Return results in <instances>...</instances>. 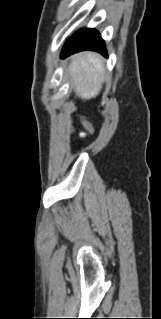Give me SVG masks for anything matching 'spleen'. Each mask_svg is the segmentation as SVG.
<instances>
[{"mask_svg":"<svg viewBox=\"0 0 161 319\" xmlns=\"http://www.w3.org/2000/svg\"><path fill=\"white\" fill-rule=\"evenodd\" d=\"M70 75L76 84V92L82 99L96 97L105 77L104 63L94 53H83L70 67Z\"/></svg>","mask_w":161,"mask_h":319,"instance_id":"3e777b00","label":"spleen"}]
</instances>
